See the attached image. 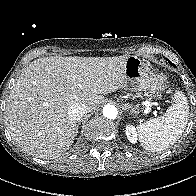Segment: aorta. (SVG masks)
Instances as JSON below:
<instances>
[{"label":"aorta","instance_id":"obj_1","mask_svg":"<svg viewBox=\"0 0 196 196\" xmlns=\"http://www.w3.org/2000/svg\"><path fill=\"white\" fill-rule=\"evenodd\" d=\"M103 115L104 117L108 118V119H116L117 118V115H118V110L117 108L112 105V104H107L103 107Z\"/></svg>","mask_w":196,"mask_h":196}]
</instances>
